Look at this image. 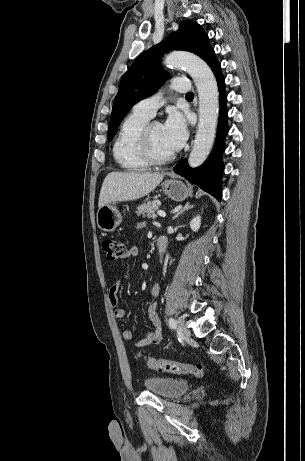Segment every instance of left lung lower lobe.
I'll return each mask as SVG.
<instances>
[{"mask_svg":"<svg viewBox=\"0 0 305 461\" xmlns=\"http://www.w3.org/2000/svg\"><path fill=\"white\" fill-rule=\"evenodd\" d=\"M216 76L219 88L220 116L218 121V131L214 148L206 162L195 169L188 166L186 159L179 162L174 167V172L183 176L188 181L197 184L201 189L207 191L218 200L221 199V174L223 171L222 153L225 149V137L228 133L226 107L227 95L225 92V80L221 73L220 63L214 58L209 64Z\"/></svg>","mask_w":305,"mask_h":461,"instance_id":"0a47b994","label":"left lung lower lobe"}]
</instances>
